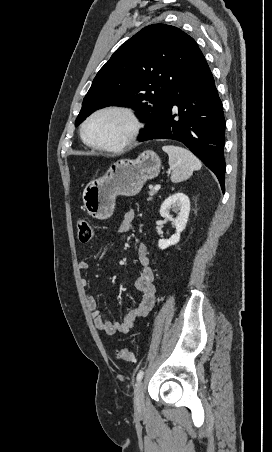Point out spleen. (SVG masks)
Returning <instances> with one entry per match:
<instances>
[{
  "label": "spleen",
  "instance_id": "spleen-1",
  "mask_svg": "<svg viewBox=\"0 0 272 452\" xmlns=\"http://www.w3.org/2000/svg\"><path fill=\"white\" fill-rule=\"evenodd\" d=\"M162 150L169 156V166L172 170L171 181L173 183L187 180L193 174V171L202 167L200 160L186 148L165 145Z\"/></svg>",
  "mask_w": 272,
  "mask_h": 452
}]
</instances>
